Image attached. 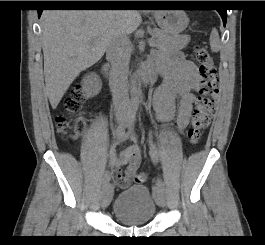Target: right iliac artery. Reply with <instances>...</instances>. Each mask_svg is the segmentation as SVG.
<instances>
[{"mask_svg":"<svg viewBox=\"0 0 265 245\" xmlns=\"http://www.w3.org/2000/svg\"><path fill=\"white\" fill-rule=\"evenodd\" d=\"M138 110V106L135 103H132L129 107L127 116L125 118V121L121 124H119L114 130H113V137L114 138H121L125 133V128L128 123L135 120L136 113ZM109 177L105 175L102 179L103 186L107 185L109 183Z\"/></svg>","mask_w":265,"mask_h":245,"instance_id":"right-iliac-artery-1","label":"right iliac artery"}]
</instances>
